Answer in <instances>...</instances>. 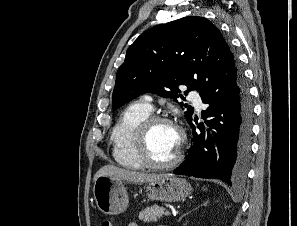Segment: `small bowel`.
I'll use <instances>...</instances> for the list:
<instances>
[{"instance_id": "small-bowel-1", "label": "small bowel", "mask_w": 297, "mask_h": 226, "mask_svg": "<svg viewBox=\"0 0 297 226\" xmlns=\"http://www.w3.org/2000/svg\"><path fill=\"white\" fill-rule=\"evenodd\" d=\"M128 226H138L135 222H131Z\"/></svg>"}]
</instances>
